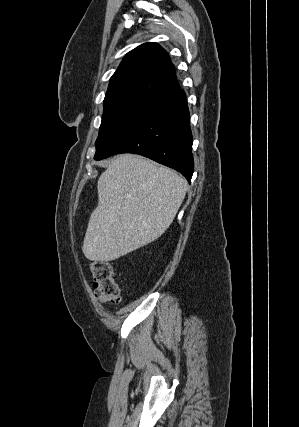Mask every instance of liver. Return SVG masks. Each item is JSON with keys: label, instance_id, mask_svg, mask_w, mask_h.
<instances>
[{"label": "liver", "instance_id": "6515ba94", "mask_svg": "<svg viewBox=\"0 0 299 427\" xmlns=\"http://www.w3.org/2000/svg\"><path fill=\"white\" fill-rule=\"evenodd\" d=\"M175 171L135 154L109 162L98 179V206L91 213L82 251L91 261H113L160 237L187 192Z\"/></svg>", "mask_w": 299, "mask_h": 427}]
</instances>
